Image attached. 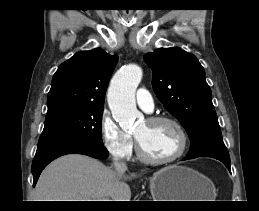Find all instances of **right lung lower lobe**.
<instances>
[{"mask_svg":"<svg viewBox=\"0 0 259 211\" xmlns=\"http://www.w3.org/2000/svg\"><path fill=\"white\" fill-rule=\"evenodd\" d=\"M78 153L97 159H106L108 151L103 145L77 139H60L39 143L32 162L33 186L39 178L42 170L54 159L65 154Z\"/></svg>","mask_w":259,"mask_h":211,"instance_id":"98d812e1","label":"right lung lower lobe"}]
</instances>
